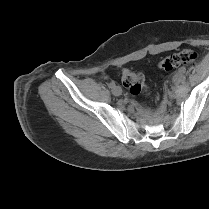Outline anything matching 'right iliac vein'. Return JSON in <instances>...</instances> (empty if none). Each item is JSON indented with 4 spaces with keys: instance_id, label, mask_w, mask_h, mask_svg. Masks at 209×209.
<instances>
[{
    "instance_id": "1",
    "label": "right iliac vein",
    "mask_w": 209,
    "mask_h": 209,
    "mask_svg": "<svg viewBox=\"0 0 209 209\" xmlns=\"http://www.w3.org/2000/svg\"><path fill=\"white\" fill-rule=\"evenodd\" d=\"M112 93L115 95V96H119L122 94V89L120 86H115L113 89H112Z\"/></svg>"
}]
</instances>
